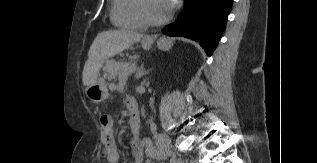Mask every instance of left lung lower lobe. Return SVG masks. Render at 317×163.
I'll return each mask as SVG.
<instances>
[{"instance_id":"0a47b994","label":"left lung lower lobe","mask_w":317,"mask_h":163,"mask_svg":"<svg viewBox=\"0 0 317 163\" xmlns=\"http://www.w3.org/2000/svg\"><path fill=\"white\" fill-rule=\"evenodd\" d=\"M232 4V0H187L178 19L162 32L200 42L211 56L222 37Z\"/></svg>"}]
</instances>
